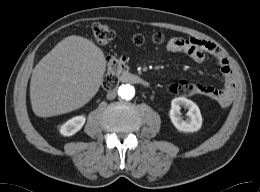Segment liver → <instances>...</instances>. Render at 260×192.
<instances>
[{
	"instance_id": "liver-1",
	"label": "liver",
	"mask_w": 260,
	"mask_h": 192,
	"mask_svg": "<svg viewBox=\"0 0 260 192\" xmlns=\"http://www.w3.org/2000/svg\"><path fill=\"white\" fill-rule=\"evenodd\" d=\"M105 70V55L92 41L78 35L64 38L33 69V112L51 117L81 108L98 92Z\"/></svg>"
}]
</instances>
